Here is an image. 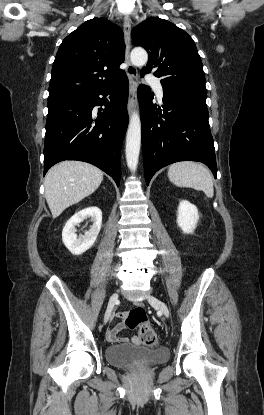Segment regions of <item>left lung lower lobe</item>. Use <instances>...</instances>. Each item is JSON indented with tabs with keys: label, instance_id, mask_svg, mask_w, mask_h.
<instances>
[{
	"label": "left lung lower lobe",
	"instance_id": "0a47b994",
	"mask_svg": "<svg viewBox=\"0 0 264 415\" xmlns=\"http://www.w3.org/2000/svg\"><path fill=\"white\" fill-rule=\"evenodd\" d=\"M163 109L152 103L149 87L140 85L141 136L145 180L178 161H199L217 176L206 91L163 87Z\"/></svg>",
	"mask_w": 264,
	"mask_h": 415
}]
</instances>
